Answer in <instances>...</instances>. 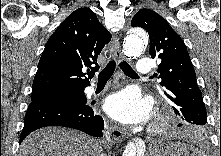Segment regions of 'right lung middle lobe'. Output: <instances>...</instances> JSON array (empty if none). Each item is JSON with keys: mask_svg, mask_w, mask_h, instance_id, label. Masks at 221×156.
<instances>
[{"mask_svg": "<svg viewBox=\"0 0 221 156\" xmlns=\"http://www.w3.org/2000/svg\"><path fill=\"white\" fill-rule=\"evenodd\" d=\"M33 102H51V103H67V104H83L87 102L84 90L58 94L46 97Z\"/></svg>", "mask_w": 221, "mask_h": 156, "instance_id": "obj_1", "label": "right lung middle lobe"}]
</instances>
